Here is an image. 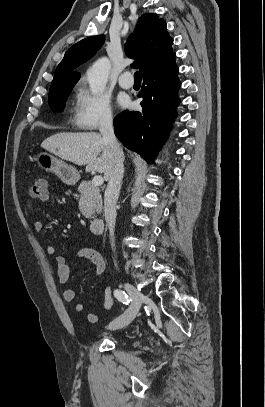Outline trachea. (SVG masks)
Wrapping results in <instances>:
<instances>
[{"label": "trachea", "mask_w": 265, "mask_h": 407, "mask_svg": "<svg viewBox=\"0 0 265 407\" xmlns=\"http://www.w3.org/2000/svg\"><path fill=\"white\" fill-rule=\"evenodd\" d=\"M134 80L135 81H141L142 80V73L140 71L135 72Z\"/></svg>", "instance_id": "obj_1"}]
</instances>
